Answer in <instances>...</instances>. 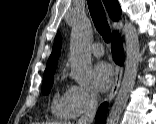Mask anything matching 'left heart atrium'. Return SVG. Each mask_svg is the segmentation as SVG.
<instances>
[{
  "label": "left heart atrium",
  "mask_w": 156,
  "mask_h": 124,
  "mask_svg": "<svg viewBox=\"0 0 156 124\" xmlns=\"http://www.w3.org/2000/svg\"><path fill=\"white\" fill-rule=\"evenodd\" d=\"M115 73L112 66L106 62H99L93 68V82L95 87L101 91H107L114 82Z\"/></svg>",
  "instance_id": "1"
}]
</instances>
